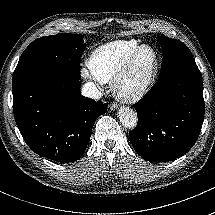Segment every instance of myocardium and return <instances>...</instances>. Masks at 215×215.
<instances>
[{"instance_id":"f54148a6","label":"myocardium","mask_w":215,"mask_h":215,"mask_svg":"<svg viewBox=\"0 0 215 215\" xmlns=\"http://www.w3.org/2000/svg\"><path fill=\"white\" fill-rule=\"evenodd\" d=\"M150 49L153 54L151 63L144 69L140 81L132 88H126L125 82L129 77L137 56L143 49ZM159 66V56L156 49L149 44H141L135 47L125 59L112 80L114 96L123 102H136L140 100L149 90L154 75Z\"/></svg>"}]
</instances>
